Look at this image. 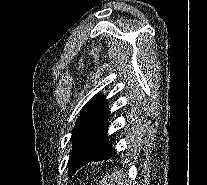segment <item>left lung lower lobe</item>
Listing matches in <instances>:
<instances>
[{
	"label": "left lung lower lobe",
	"mask_w": 207,
	"mask_h": 185,
	"mask_svg": "<svg viewBox=\"0 0 207 185\" xmlns=\"http://www.w3.org/2000/svg\"><path fill=\"white\" fill-rule=\"evenodd\" d=\"M115 149L112 148L111 145L108 146V148L101 152V153H92V154H86L83 157H81L70 169L69 174L74 173L77 169H79L81 166L87 164L89 161H102L107 160L111 157H117L115 155Z\"/></svg>",
	"instance_id": "obj_1"
}]
</instances>
